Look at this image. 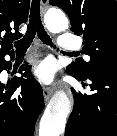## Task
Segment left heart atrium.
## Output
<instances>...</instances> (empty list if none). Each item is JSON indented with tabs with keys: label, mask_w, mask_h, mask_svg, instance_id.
I'll use <instances>...</instances> for the list:
<instances>
[{
	"label": "left heart atrium",
	"mask_w": 117,
	"mask_h": 136,
	"mask_svg": "<svg viewBox=\"0 0 117 136\" xmlns=\"http://www.w3.org/2000/svg\"><path fill=\"white\" fill-rule=\"evenodd\" d=\"M33 75L45 84H52L56 78V66L52 59H45L33 69Z\"/></svg>",
	"instance_id": "obj_1"
}]
</instances>
